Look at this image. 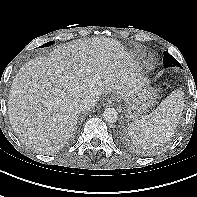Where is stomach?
<instances>
[{
  "label": "stomach",
  "instance_id": "1",
  "mask_svg": "<svg viewBox=\"0 0 197 197\" xmlns=\"http://www.w3.org/2000/svg\"><path fill=\"white\" fill-rule=\"evenodd\" d=\"M156 91L145 84L130 96L123 98V113L127 121H136L148 112L156 103Z\"/></svg>",
  "mask_w": 197,
  "mask_h": 197
}]
</instances>
